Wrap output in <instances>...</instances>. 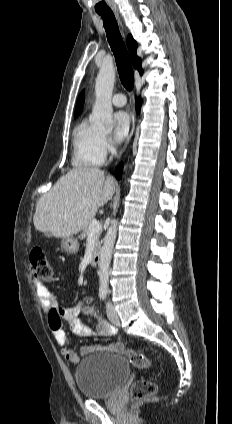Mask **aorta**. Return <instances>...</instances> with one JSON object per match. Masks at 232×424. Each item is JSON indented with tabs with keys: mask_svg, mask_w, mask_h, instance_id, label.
Wrapping results in <instances>:
<instances>
[{
	"mask_svg": "<svg viewBox=\"0 0 232 424\" xmlns=\"http://www.w3.org/2000/svg\"><path fill=\"white\" fill-rule=\"evenodd\" d=\"M115 68L113 65H103L96 78L95 104L91 120L100 127H113L112 92L115 82ZM117 221L113 220L104 237V244L99 260V292L107 293L109 284V267L112 251L116 239Z\"/></svg>",
	"mask_w": 232,
	"mask_h": 424,
	"instance_id": "obj_1",
	"label": "aorta"
}]
</instances>
